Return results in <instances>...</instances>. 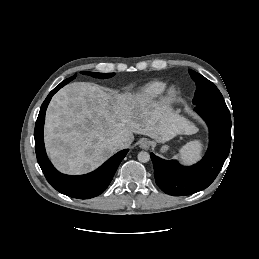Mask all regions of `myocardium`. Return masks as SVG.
<instances>
[{"mask_svg": "<svg viewBox=\"0 0 259 259\" xmlns=\"http://www.w3.org/2000/svg\"><path fill=\"white\" fill-rule=\"evenodd\" d=\"M178 97H179V90L176 87L171 86L165 89L164 95H163L165 102L173 103L178 99Z\"/></svg>", "mask_w": 259, "mask_h": 259, "instance_id": "f54148a6", "label": "myocardium"}]
</instances>
